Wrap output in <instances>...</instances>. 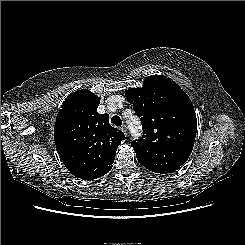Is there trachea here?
Returning a JSON list of instances; mask_svg holds the SVG:
<instances>
[{
  "mask_svg": "<svg viewBox=\"0 0 245 245\" xmlns=\"http://www.w3.org/2000/svg\"><path fill=\"white\" fill-rule=\"evenodd\" d=\"M111 122L115 126H121V124H122L120 117L116 116V115L111 118Z\"/></svg>",
  "mask_w": 245,
  "mask_h": 245,
  "instance_id": "trachea-1",
  "label": "trachea"
}]
</instances>
